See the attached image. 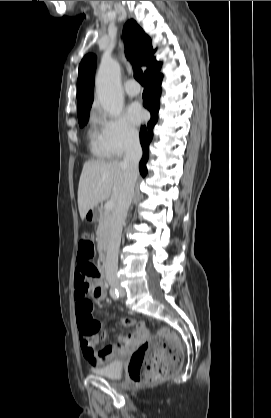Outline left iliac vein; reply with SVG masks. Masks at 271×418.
I'll return each mask as SVG.
<instances>
[{
	"instance_id": "obj_1",
	"label": "left iliac vein",
	"mask_w": 271,
	"mask_h": 418,
	"mask_svg": "<svg viewBox=\"0 0 271 418\" xmlns=\"http://www.w3.org/2000/svg\"><path fill=\"white\" fill-rule=\"evenodd\" d=\"M119 292H120L121 297H123L125 295V292L122 288H119Z\"/></svg>"
}]
</instances>
